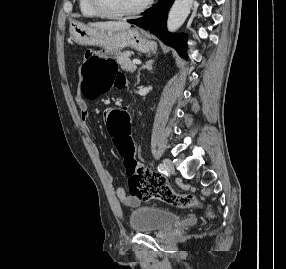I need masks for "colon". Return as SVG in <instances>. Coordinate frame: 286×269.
Segmentation results:
<instances>
[{"label": "colon", "instance_id": "5ec220e1", "mask_svg": "<svg viewBox=\"0 0 286 269\" xmlns=\"http://www.w3.org/2000/svg\"><path fill=\"white\" fill-rule=\"evenodd\" d=\"M122 49H92L84 54V61L80 69V89L87 98L97 96L109 87H120L124 81L114 61L119 59ZM109 137H112L114 155L123 160V168L128 174V188L132 196L148 199L152 196L164 198L170 204L185 208L200 205L191 195L178 196L168 190L163 178L144 169V163H137L136 139L130 137L132 113L123 106H112L107 116ZM207 215L212 216L208 209Z\"/></svg>", "mask_w": 286, "mask_h": 269}]
</instances>
